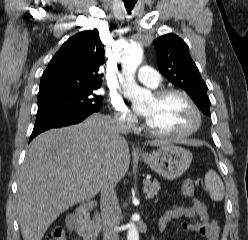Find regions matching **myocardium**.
I'll use <instances>...</instances> for the list:
<instances>
[{
    "mask_svg": "<svg viewBox=\"0 0 248 240\" xmlns=\"http://www.w3.org/2000/svg\"><path fill=\"white\" fill-rule=\"evenodd\" d=\"M170 95L182 96L187 101V103L189 104V106L192 109L193 114L195 116L194 125L185 131L163 132V131L154 130L147 123L146 124V131L148 133H150L151 135L161 137V138H183V137H187V136H190V135L196 133L201 128L203 119H202L201 111H200L199 107L197 106V104L195 103V101L193 100V98L186 91L179 89V88H161V89H158L154 92V97L156 99H163V98L170 96Z\"/></svg>",
    "mask_w": 248,
    "mask_h": 240,
    "instance_id": "f54148a6",
    "label": "myocardium"
}]
</instances>
